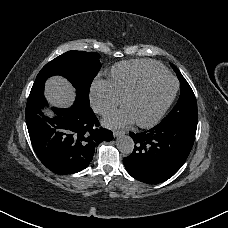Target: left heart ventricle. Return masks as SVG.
I'll return each mask as SVG.
<instances>
[{
	"label": "left heart ventricle",
	"mask_w": 228,
	"mask_h": 228,
	"mask_svg": "<svg viewBox=\"0 0 228 228\" xmlns=\"http://www.w3.org/2000/svg\"><path fill=\"white\" fill-rule=\"evenodd\" d=\"M173 88L170 79L163 78L153 82L128 104L134 117L141 122L150 121L166 101Z\"/></svg>",
	"instance_id": "b2bd125f"
}]
</instances>
